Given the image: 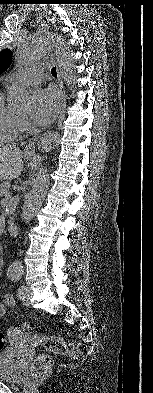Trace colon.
<instances>
[{"mask_svg":"<svg viewBox=\"0 0 153 393\" xmlns=\"http://www.w3.org/2000/svg\"><path fill=\"white\" fill-rule=\"evenodd\" d=\"M23 332L33 343L44 347L48 352L54 355H65L70 359H77L80 356L81 350L78 344L75 342H65L63 339L55 336H44V335H31V328L25 324L23 326ZM11 333H16L12 330ZM6 338L4 334L0 333V350L5 347ZM52 364V360L47 355H41L36 359L32 365V374L34 377L41 378L48 371Z\"/></svg>","mask_w":153,"mask_h":393,"instance_id":"colon-1","label":"colon"}]
</instances>
